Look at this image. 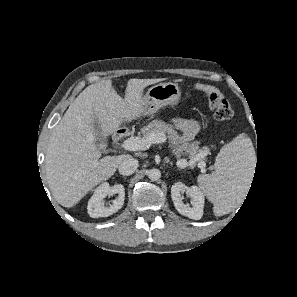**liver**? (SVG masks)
<instances>
[{
	"mask_svg": "<svg viewBox=\"0 0 297 297\" xmlns=\"http://www.w3.org/2000/svg\"><path fill=\"white\" fill-rule=\"evenodd\" d=\"M161 79H130L125 98L102 80L86 87L52 131L46 152V175L55 200L73 207L96 185L110 178L129 155L106 156L95 144L94 122L104 138L143 111V90Z\"/></svg>",
	"mask_w": 297,
	"mask_h": 297,
	"instance_id": "6515ba94",
	"label": "liver"
}]
</instances>
